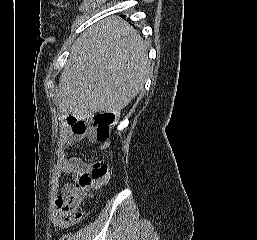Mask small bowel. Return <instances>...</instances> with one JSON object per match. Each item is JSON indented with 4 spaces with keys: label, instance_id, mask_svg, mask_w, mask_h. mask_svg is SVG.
Returning a JSON list of instances; mask_svg holds the SVG:
<instances>
[{
    "label": "small bowel",
    "instance_id": "1",
    "mask_svg": "<svg viewBox=\"0 0 257 240\" xmlns=\"http://www.w3.org/2000/svg\"><path fill=\"white\" fill-rule=\"evenodd\" d=\"M87 138L90 142L100 143L98 150L102 151L109 147V141H98L92 129H89L82 135L74 134L67 127L61 130L60 139L57 149V162L53 169V188L61 191V194H67L75 185L73 181L77 180L80 175L88 173L91 169V164L83 159L70 154L72 147L82 139ZM64 176H70L72 181L63 183ZM51 223L56 231H61L67 227V222L56 204V201L51 206L50 210Z\"/></svg>",
    "mask_w": 257,
    "mask_h": 240
}]
</instances>
